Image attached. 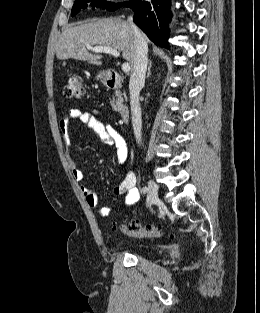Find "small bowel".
Wrapping results in <instances>:
<instances>
[{"mask_svg": "<svg viewBox=\"0 0 260 313\" xmlns=\"http://www.w3.org/2000/svg\"><path fill=\"white\" fill-rule=\"evenodd\" d=\"M100 113L96 110L84 112L80 109H71L66 117L60 122L62 138L66 145V158L69 163L72 177L75 181L81 182L84 178L83 171L74 159L70 140V127L72 120H79L91 128L103 142L113 144L116 148V158L119 164H123L128 155L127 143L124 137L109 123L100 121L98 116ZM136 186V176L133 171L126 172L122 183L117 186L114 193L118 196H125L124 205L127 208L134 206L138 199V191ZM86 203L91 208H97V214L101 217H106L110 214L109 206L98 207L99 201L97 195L86 185L82 184L79 187Z\"/></svg>", "mask_w": 260, "mask_h": 313, "instance_id": "obj_1", "label": "small bowel"}]
</instances>
